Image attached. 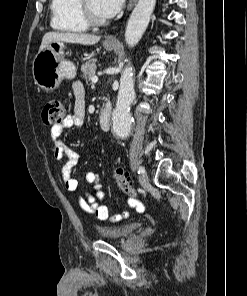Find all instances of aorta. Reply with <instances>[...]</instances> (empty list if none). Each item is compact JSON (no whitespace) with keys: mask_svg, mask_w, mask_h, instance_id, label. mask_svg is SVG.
<instances>
[{"mask_svg":"<svg viewBox=\"0 0 247 296\" xmlns=\"http://www.w3.org/2000/svg\"><path fill=\"white\" fill-rule=\"evenodd\" d=\"M156 0H138L128 20L125 41L129 47H134L142 38L150 21ZM135 99L132 67L123 70L116 107L112 114V127L117 136H127L131 127L130 105Z\"/></svg>","mask_w":247,"mask_h":296,"instance_id":"1","label":"aorta"}]
</instances>
